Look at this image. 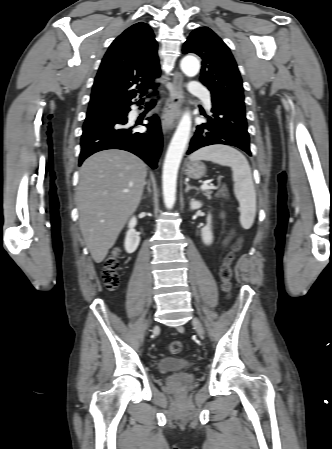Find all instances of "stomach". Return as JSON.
<instances>
[{
  "label": "stomach",
  "instance_id": "0dacf381",
  "mask_svg": "<svg viewBox=\"0 0 332 449\" xmlns=\"http://www.w3.org/2000/svg\"><path fill=\"white\" fill-rule=\"evenodd\" d=\"M185 172L192 179H200L205 175L206 167L199 161H192L187 164Z\"/></svg>",
  "mask_w": 332,
  "mask_h": 449
}]
</instances>
